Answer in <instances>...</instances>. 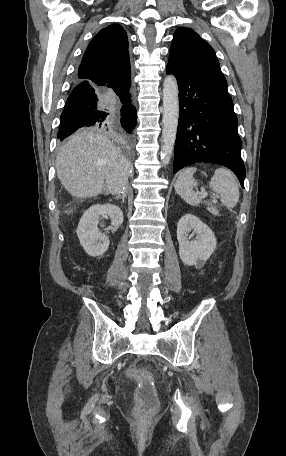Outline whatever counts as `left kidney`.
<instances>
[{
  "label": "left kidney",
  "mask_w": 286,
  "mask_h": 456,
  "mask_svg": "<svg viewBox=\"0 0 286 456\" xmlns=\"http://www.w3.org/2000/svg\"><path fill=\"white\" fill-rule=\"evenodd\" d=\"M193 230L196 239L188 240V233ZM177 239L179 256L185 265L201 268L216 249V239L212 230L198 217L186 214L178 222Z\"/></svg>",
  "instance_id": "obj_1"
}]
</instances>
